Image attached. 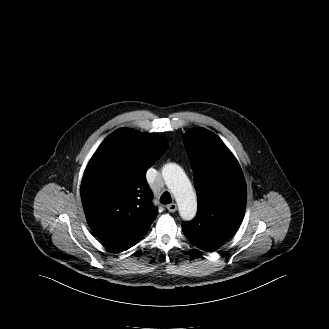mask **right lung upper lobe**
<instances>
[{"label": "right lung upper lobe", "mask_w": 329, "mask_h": 329, "mask_svg": "<svg viewBox=\"0 0 329 329\" xmlns=\"http://www.w3.org/2000/svg\"><path fill=\"white\" fill-rule=\"evenodd\" d=\"M164 138L121 128L110 134L89 161L81 183L88 224L111 249L135 245L157 215L146 171L164 154Z\"/></svg>", "instance_id": "right-lung-upper-lobe-1"}]
</instances>
